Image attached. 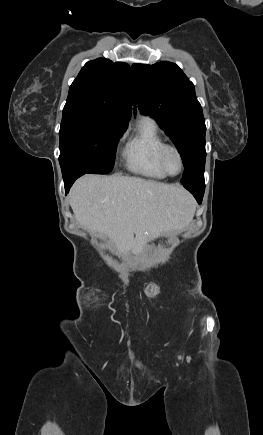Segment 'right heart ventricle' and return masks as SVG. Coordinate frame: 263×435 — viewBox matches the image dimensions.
Here are the masks:
<instances>
[{
	"mask_svg": "<svg viewBox=\"0 0 263 435\" xmlns=\"http://www.w3.org/2000/svg\"><path fill=\"white\" fill-rule=\"evenodd\" d=\"M164 140L158 126L150 118L141 119L127 140L123 156L129 171L151 179H165L158 162V153Z\"/></svg>",
	"mask_w": 263,
	"mask_h": 435,
	"instance_id": "1",
	"label": "right heart ventricle"
}]
</instances>
